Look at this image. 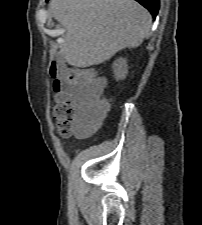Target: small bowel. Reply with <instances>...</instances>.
<instances>
[{
	"instance_id": "small-bowel-1",
	"label": "small bowel",
	"mask_w": 202,
	"mask_h": 225,
	"mask_svg": "<svg viewBox=\"0 0 202 225\" xmlns=\"http://www.w3.org/2000/svg\"><path fill=\"white\" fill-rule=\"evenodd\" d=\"M77 119L82 122L91 123L92 122V116L88 113L85 105L83 102L79 99L77 102Z\"/></svg>"
}]
</instances>
